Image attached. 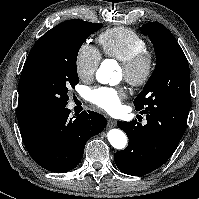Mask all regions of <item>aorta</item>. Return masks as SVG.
Instances as JSON below:
<instances>
[{"instance_id":"1","label":"aorta","mask_w":199,"mask_h":199,"mask_svg":"<svg viewBox=\"0 0 199 199\" xmlns=\"http://www.w3.org/2000/svg\"><path fill=\"white\" fill-rule=\"evenodd\" d=\"M96 78L100 83L108 84L116 81L115 73L104 63L96 72ZM110 144L116 149H123L127 145V137L120 129H111L107 134Z\"/></svg>"}]
</instances>
